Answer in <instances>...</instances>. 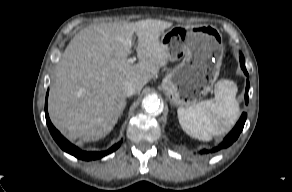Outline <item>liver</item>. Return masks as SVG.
<instances>
[{"instance_id":"liver-1","label":"liver","mask_w":292,"mask_h":192,"mask_svg":"<svg viewBox=\"0 0 292 192\" xmlns=\"http://www.w3.org/2000/svg\"><path fill=\"white\" fill-rule=\"evenodd\" d=\"M171 22L146 19L90 25L78 32L65 49L49 92L52 123L71 138L96 141L111 132L126 106L125 82L139 93L170 54L159 41ZM138 63H128L133 36Z\"/></svg>"}]
</instances>
